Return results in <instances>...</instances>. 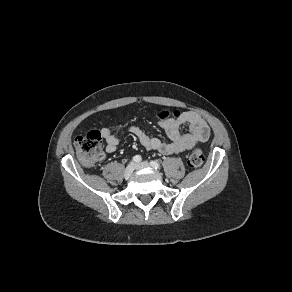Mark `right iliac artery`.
Segmentation results:
<instances>
[{"instance_id":"82829eb1","label":"right iliac artery","mask_w":292,"mask_h":292,"mask_svg":"<svg viewBox=\"0 0 292 292\" xmlns=\"http://www.w3.org/2000/svg\"><path fill=\"white\" fill-rule=\"evenodd\" d=\"M141 160H142V158H141L140 155H135V156L133 157V161H134L135 163H139Z\"/></svg>"}]
</instances>
